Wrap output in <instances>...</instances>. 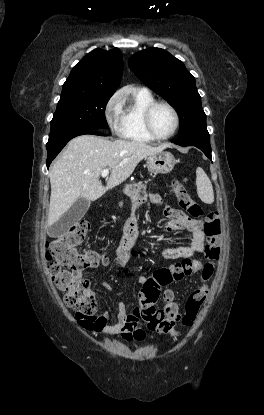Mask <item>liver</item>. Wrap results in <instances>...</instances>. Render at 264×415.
I'll return each instance as SVG.
<instances>
[{
  "label": "liver",
  "mask_w": 264,
  "mask_h": 415,
  "mask_svg": "<svg viewBox=\"0 0 264 415\" xmlns=\"http://www.w3.org/2000/svg\"><path fill=\"white\" fill-rule=\"evenodd\" d=\"M167 147L166 144L153 147L137 141H110L92 135L75 137L50 170L48 226L57 222L79 197L97 200L125 181L142 159ZM103 169L111 170L106 186L99 181Z\"/></svg>",
  "instance_id": "liver-1"
}]
</instances>
